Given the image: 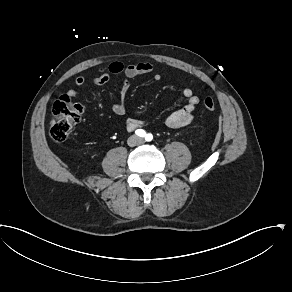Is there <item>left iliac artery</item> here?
Masks as SVG:
<instances>
[{
  "mask_svg": "<svg viewBox=\"0 0 292 292\" xmlns=\"http://www.w3.org/2000/svg\"><path fill=\"white\" fill-rule=\"evenodd\" d=\"M145 139H146V141H151L153 139L152 134H150V133L147 134Z\"/></svg>",
  "mask_w": 292,
  "mask_h": 292,
  "instance_id": "44dca946",
  "label": "left iliac artery"
}]
</instances>
